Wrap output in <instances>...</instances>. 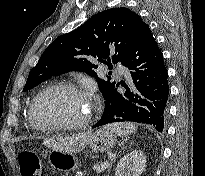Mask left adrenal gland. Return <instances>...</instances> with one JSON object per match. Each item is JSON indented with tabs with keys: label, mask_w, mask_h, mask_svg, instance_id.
<instances>
[{
	"label": "left adrenal gland",
	"mask_w": 205,
	"mask_h": 176,
	"mask_svg": "<svg viewBox=\"0 0 205 176\" xmlns=\"http://www.w3.org/2000/svg\"><path fill=\"white\" fill-rule=\"evenodd\" d=\"M122 145H123L122 149H124V148H125V147H124V144H122ZM115 159H116V156L114 157L113 161H114ZM113 161L111 162V164H110V166H109L107 176H109L110 170H111V168H112V163H113Z\"/></svg>",
	"instance_id": "1"
}]
</instances>
